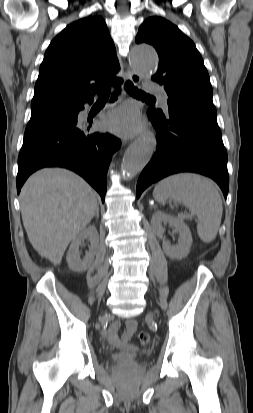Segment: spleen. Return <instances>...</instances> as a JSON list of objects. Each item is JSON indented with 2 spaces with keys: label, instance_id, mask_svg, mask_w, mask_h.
<instances>
[{
  "label": "spleen",
  "instance_id": "3e777b00",
  "mask_svg": "<svg viewBox=\"0 0 253 413\" xmlns=\"http://www.w3.org/2000/svg\"><path fill=\"white\" fill-rule=\"evenodd\" d=\"M153 196L160 203L171 199L184 204L198 217L199 238L206 243L216 238L223 207L218 188L212 181L199 174H175L160 181Z\"/></svg>",
  "mask_w": 253,
  "mask_h": 413
}]
</instances>
